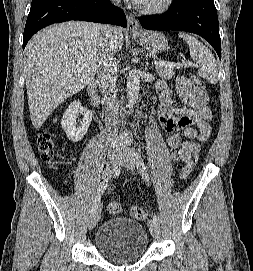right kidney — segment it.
Here are the masks:
<instances>
[{
	"label": "right kidney",
	"instance_id": "right-kidney-1",
	"mask_svg": "<svg viewBox=\"0 0 253 271\" xmlns=\"http://www.w3.org/2000/svg\"><path fill=\"white\" fill-rule=\"evenodd\" d=\"M79 115H84V117L78 127L77 118ZM91 121L92 111L82 107L80 101H74L63 114L61 125L67 138L72 142H78L87 133Z\"/></svg>",
	"mask_w": 253,
	"mask_h": 271
}]
</instances>
